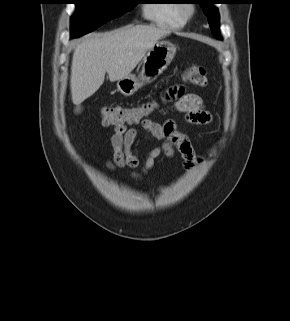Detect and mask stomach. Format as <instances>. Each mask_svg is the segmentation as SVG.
I'll use <instances>...</instances> for the list:
<instances>
[{"mask_svg":"<svg viewBox=\"0 0 290 321\" xmlns=\"http://www.w3.org/2000/svg\"><path fill=\"white\" fill-rule=\"evenodd\" d=\"M176 54V47L168 41H158L151 47L141 62L138 76L129 74L117 82L118 91L125 96L134 94L145 83L155 80L169 66Z\"/></svg>","mask_w":290,"mask_h":321,"instance_id":"1","label":"stomach"}]
</instances>
